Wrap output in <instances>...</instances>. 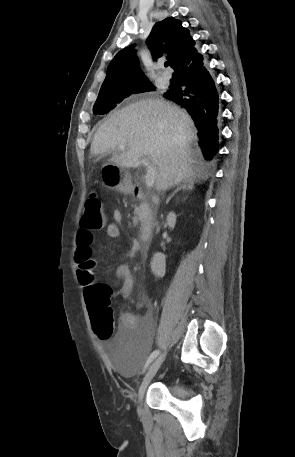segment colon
Listing matches in <instances>:
<instances>
[{
    "mask_svg": "<svg viewBox=\"0 0 295 457\" xmlns=\"http://www.w3.org/2000/svg\"><path fill=\"white\" fill-rule=\"evenodd\" d=\"M106 221L103 204L96 193L88 196L81 216V227L97 230L104 227ZM78 276L85 287V302L96 335L101 340L108 339L113 332V314L110 305L111 290L94 279L93 264L87 255L76 258Z\"/></svg>",
    "mask_w": 295,
    "mask_h": 457,
    "instance_id": "1",
    "label": "colon"
}]
</instances>
